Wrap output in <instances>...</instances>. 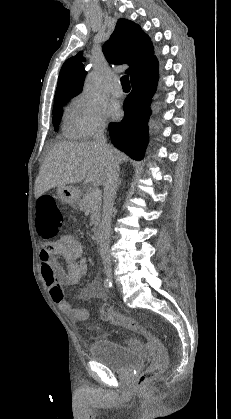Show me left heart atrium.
<instances>
[{"instance_id":"left-heart-atrium-1","label":"left heart atrium","mask_w":231,"mask_h":419,"mask_svg":"<svg viewBox=\"0 0 231 419\" xmlns=\"http://www.w3.org/2000/svg\"><path fill=\"white\" fill-rule=\"evenodd\" d=\"M107 113L112 118H116L119 116V107L115 103H111L107 106Z\"/></svg>"}]
</instances>
